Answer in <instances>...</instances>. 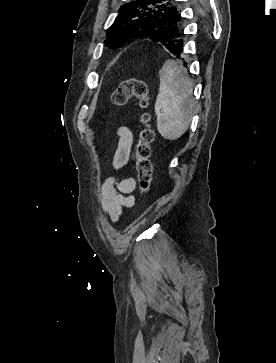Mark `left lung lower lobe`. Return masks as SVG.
I'll return each instance as SVG.
<instances>
[{"label":"left lung lower lobe","instance_id":"left-lung-lower-lobe-1","mask_svg":"<svg viewBox=\"0 0 276 363\" xmlns=\"http://www.w3.org/2000/svg\"><path fill=\"white\" fill-rule=\"evenodd\" d=\"M183 46L184 43L183 41H181V39L173 40L171 42H169L166 46V48L173 53L174 55L177 56V58H180L183 56V54H181L183 52Z\"/></svg>","mask_w":276,"mask_h":363}]
</instances>
